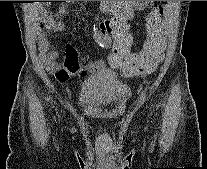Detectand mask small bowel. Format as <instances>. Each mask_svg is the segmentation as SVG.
I'll list each match as a JSON object with an SVG mask.
<instances>
[{"mask_svg": "<svg viewBox=\"0 0 207 169\" xmlns=\"http://www.w3.org/2000/svg\"><path fill=\"white\" fill-rule=\"evenodd\" d=\"M62 3H70L72 1H60ZM102 10L105 13H111L112 10L109 7V1H102ZM67 8L65 5L60 6L59 8V16H62L66 14ZM130 12H127L125 16H115L111 18L110 20H107L102 24L103 33H109L112 32L115 27L120 28L123 24V21L125 17L129 16ZM46 27L47 28H53L55 27L54 18L48 17L46 20ZM120 38L117 40L116 44H122L126 43V38L123 34H120ZM108 43L106 38H103L101 40L102 45H106ZM40 53L45 61L46 67L49 71L55 72L56 77L59 81H66L70 76L72 75H85L87 72L91 69H98L102 65L100 63L98 64H88V65H82L77 57V51L72 46H67L66 48V57L64 59L63 66L58 67L57 64L52 60V56L48 53V42L44 38V36H41L40 39ZM111 61L113 63L117 62L116 57L111 58ZM153 68L146 69L147 72H150Z\"/></svg>", "mask_w": 207, "mask_h": 169, "instance_id": "obj_1", "label": "small bowel"}]
</instances>
